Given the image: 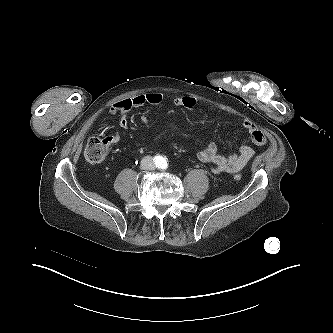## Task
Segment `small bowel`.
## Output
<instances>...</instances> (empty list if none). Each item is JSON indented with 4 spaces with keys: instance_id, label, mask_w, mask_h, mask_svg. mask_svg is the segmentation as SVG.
Wrapping results in <instances>:
<instances>
[{
    "instance_id": "c3829d8e",
    "label": "small bowel",
    "mask_w": 333,
    "mask_h": 333,
    "mask_svg": "<svg viewBox=\"0 0 333 333\" xmlns=\"http://www.w3.org/2000/svg\"><path fill=\"white\" fill-rule=\"evenodd\" d=\"M163 101V94L157 91L140 94L131 98H125L113 103L109 113L119 116V125L123 129L129 127L128 113L132 108L142 107L146 104L159 105ZM173 105L192 110L197 105V100L191 95L178 96L173 100ZM141 122L145 128L148 127V119L143 116ZM243 129L249 134L250 141L257 146H264L267 143L265 135L250 120L242 122ZM113 141L119 140L118 133L112 137ZM254 155V150L247 144H242L238 151L229 156L218 153V146L215 142L208 143L197 152V158L207 164L215 174L237 173L244 169Z\"/></svg>"
}]
</instances>
